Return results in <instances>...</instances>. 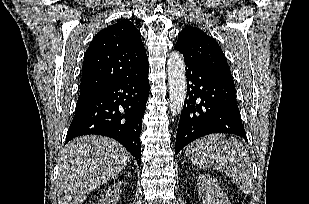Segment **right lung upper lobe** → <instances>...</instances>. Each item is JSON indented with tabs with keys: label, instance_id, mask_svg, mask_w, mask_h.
<instances>
[{
	"label": "right lung upper lobe",
	"instance_id": "cb5924a9",
	"mask_svg": "<svg viewBox=\"0 0 309 204\" xmlns=\"http://www.w3.org/2000/svg\"><path fill=\"white\" fill-rule=\"evenodd\" d=\"M148 67L139 30L123 19L97 33L89 45L82 67L80 96L138 75Z\"/></svg>",
	"mask_w": 309,
	"mask_h": 204
}]
</instances>
